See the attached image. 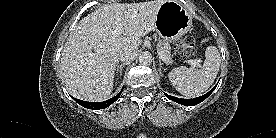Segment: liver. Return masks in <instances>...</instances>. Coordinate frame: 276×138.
<instances>
[{
  "label": "liver",
  "mask_w": 276,
  "mask_h": 138,
  "mask_svg": "<svg viewBox=\"0 0 276 138\" xmlns=\"http://www.w3.org/2000/svg\"><path fill=\"white\" fill-rule=\"evenodd\" d=\"M166 0L104 5L79 21L61 57V75L76 98L99 102L109 98L118 55L138 49L141 37L155 28L159 7ZM122 27L123 36L113 34Z\"/></svg>",
  "instance_id": "1"
}]
</instances>
